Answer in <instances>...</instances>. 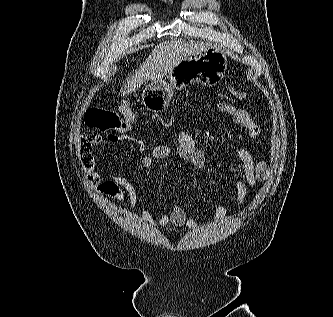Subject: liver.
I'll use <instances>...</instances> for the list:
<instances>
[{
    "label": "liver",
    "instance_id": "obj_1",
    "mask_svg": "<svg viewBox=\"0 0 333 317\" xmlns=\"http://www.w3.org/2000/svg\"><path fill=\"white\" fill-rule=\"evenodd\" d=\"M203 46V42H186L181 39L160 43L152 50L136 73L127 80L121 89V94L132 93L149 79H162L181 61L199 54Z\"/></svg>",
    "mask_w": 333,
    "mask_h": 317
}]
</instances>
